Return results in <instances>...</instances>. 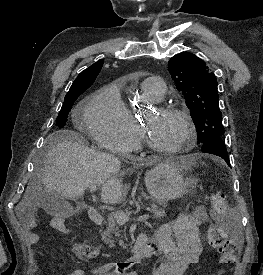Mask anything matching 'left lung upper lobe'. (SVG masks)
Returning a JSON list of instances; mask_svg holds the SVG:
<instances>
[{
	"mask_svg": "<svg viewBox=\"0 0 263 275\" xmlns=\"http://www.w3.org/2000/svg\"><path fill=\"white\" fill-rule=\"evenodd\" d=\"M168 70L178 91L185 97L197 130L198 143L204 144L224 134L219 108L217 79L203 60L182 52L168 62Z\"/></svg>",
	"mask_w": 263,
	"mask_h": 275,
	"instance_id": "5c2ea615",
	"label": "left lung upper lobe"
}]
</instances>
